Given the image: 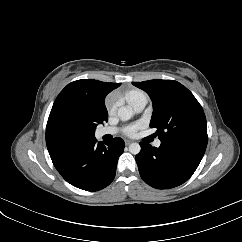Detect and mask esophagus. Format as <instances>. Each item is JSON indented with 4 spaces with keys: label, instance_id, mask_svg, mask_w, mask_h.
<instances>
[{
    "label": "esophagus",
    "instance_id": "esophagus-1",
    "mask_svg": "<svg viewBox=\"0 0 242 242\" xmlns=\"http://www.w3.org/2000/svg\"><path fill=\"white\" fill-rule=\"evenodd\" d=\"M131 143H132V141H131V140H128V139H126V140H125V145H127V146H128V145H130Z\"/></svg>",
    "mask_w": 242,
    "mask_h": 242
}]
</instances>
